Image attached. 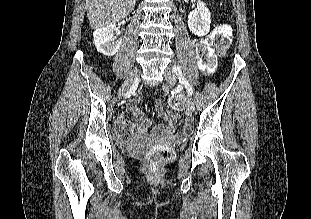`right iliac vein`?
I'll return each mask as SVG.
<instances>
[{"mask_svg":"<svg viewBox=\"0 0 311 219\" xmlns=\"http://www.w3.org/2000/svg\"><path fill=\"white\" fill-rule=\"evenodd\" d=\"M137 75H138V69L135 68L134 70L131 71V73L127 76L126 80L124 81L122 87L119 90V96H122L124 93L128 91V89L131 87V85L135 81Z\"/></svg>","mask_w":311,"mask_h":219,"instance_id":"right-iliac-vein-1","label":"right iliac vein"}]
</instances>
